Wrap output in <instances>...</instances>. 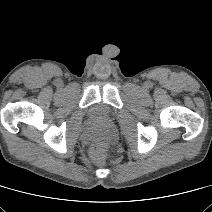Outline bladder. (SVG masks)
Listing matches in <instances>:
<instances>
[{"instance_id":"1","label":"bladder","mask_w":212,"mask_h":212,"mask_svg":"<svg viewBox=\"0 0 212 212\" xmlns=\"http://www.w3.org/2000/svg\"><path fill=\"white\" fill-rule=\"evenodd\" d=\"M89 115L91 118L101 121L110 120L113 116L111 109L102 104L92 106Z\"/></svg>"}]
</instances>
